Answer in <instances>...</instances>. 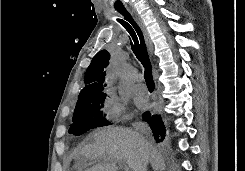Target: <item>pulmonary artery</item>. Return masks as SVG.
<instances>
[{
    "instance_id": "1",
    "label": "pulmonary artery",
    "mask_w": 245,
    "mask_h": 171,
    "mask_svg": "<svg viewBox=\"0 0 245 171\" xmlns=\"http://www.w3.org/2000/svg\"><path fill=\"white\" fill-rule=\"evenodd\" d=\"M134 92H135V94H137V95H144V94L147 92V87H146L144 84L138 82V83L134 86Z\"/></svg>"
}]
</instances>
